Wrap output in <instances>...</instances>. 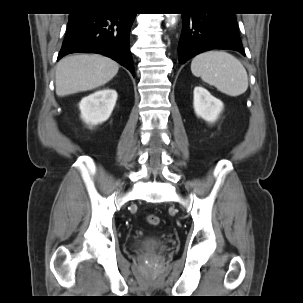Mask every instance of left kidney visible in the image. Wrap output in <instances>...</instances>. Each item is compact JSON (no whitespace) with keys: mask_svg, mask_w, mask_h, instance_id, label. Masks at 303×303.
<instances>
[{"mask_svg":"<svg viewBox=\"0 0 303 303\" xmlns=\"http://www.w3.org/2000/svg\"><path fill=\"white\" fill-rule=\"evenodd\" d=\"M193 94V106L196 115L208 123H214L224 108L222 101L212 96L201 86H196Z\"/></svg>","mask_w":303,"mask_h":303,"instance_id":"left-kidney-1","label":"left kidney"}]
</instances>
